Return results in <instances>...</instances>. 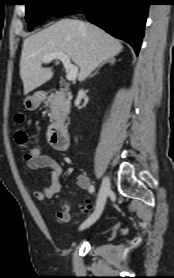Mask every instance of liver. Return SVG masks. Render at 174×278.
<instances>
[{"mask_svg": "<svg viewBox=\"0 0 174 278\" xmlns=\"http://www.w3.org/2000/svg\"><path fill=\"white\" fill-rule=\"evenodd\" d=\"M122 49L118 39L99 27L75 19H62L24 40L20 60L24 94L52 78V68L41 66L43 57L50 53L68 55L79 67L78 80L84 81L97 66Z\"/></svg>", "mask_w": 174, "mask_h": 278, "instance_id": "liver-1", "label": "liver"}]
</instances>
